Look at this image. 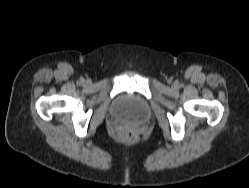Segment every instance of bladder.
I'll list each match as a JSON object with an SVG mask.
<instances>
[{"label":"bladder","instance_id":"obj_1","mask_svg":"<svg viewBox=\"0 0 249 188\" xmlns=\"http://www.w3.org/2000/svg\"><path fill=\"white\" fill-rule=\"evenodd\" d=\"M112 111L119 117L142 120L147 117L149 107L143 98L135 94H125L121 95L113 102Z\"/></svg>","mask_w":249,"mask_h":188}]
</instances>
